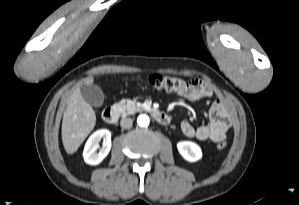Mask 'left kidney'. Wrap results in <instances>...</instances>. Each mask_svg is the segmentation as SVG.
<instances>
[{"label": "left kidney", "mask_w": 299, "mask_h": 205, "mask_svg": "<svg viewBox=\"0 0 299 205\" xmlns=\"http://www.w3.org/2000/svg\"><path fill=\"white\" fill-rule=\"evenodd\" d=\"M180 155L188 162H196L202 158V151L199 145L191 141L177 143Z\"/></svg>", "instance_id": "left-kidney-1"}]
</instances>
